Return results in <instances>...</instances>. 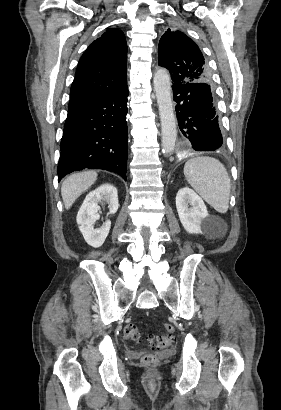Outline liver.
<instances>
[{
  "mask_svg": "<svg viewBox=\"0 0 281 410\" xmlns=\"http://www.w3.org/2000/svg\"><path fill=\"white\" fill-rule=\"evenodd\" d=\"M97 179L95 171H84L72 174L64 180L61 187V195L65 208L68 210L75 200L87 189H89Z\"/></svg>",
  "mask_w": 281,
  "mask_h": 410,
  "instance_id": "obj_1",
  "label": "liver"
}]
</instances>
